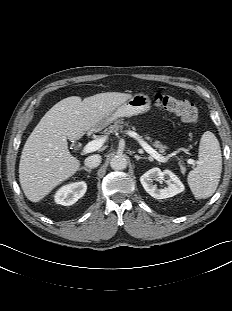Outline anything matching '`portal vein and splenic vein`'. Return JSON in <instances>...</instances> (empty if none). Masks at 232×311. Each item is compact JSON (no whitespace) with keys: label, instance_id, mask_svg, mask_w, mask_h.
<instances>
[{"label":"portal vein and splenic vein","instance_id":"1","mask_svg":"<svg viewBox=\"0 0 232 311\" xmlns=\"http://www.w3.org/2000/svg\"><path fill=\"white\" fill-rule=\"evenodd\" d=\"M128 134L131 137H134L138 140V142L140 143V145L143 147V149L150 154L154 159H156L159 162H167L168 161V157H165L161 154H159L157 151H155V149H153L150 145H148L145 141H143L142 139H140V137H138V135L135 132H128ZM106 140V137H102L100 139L97 140H93L89 143H87L84 148H83V152L84 153H91L94 152L98 149H100L102 147V145L104 144ZM188 162L190 164H193V160L189 159Z\"/></svg>","mask_w":232,"mask_h":311}]
</instances>
